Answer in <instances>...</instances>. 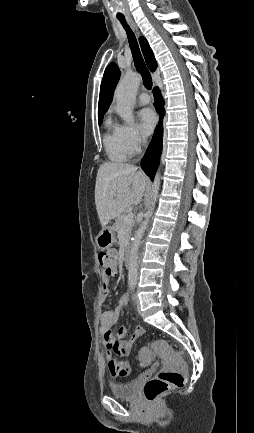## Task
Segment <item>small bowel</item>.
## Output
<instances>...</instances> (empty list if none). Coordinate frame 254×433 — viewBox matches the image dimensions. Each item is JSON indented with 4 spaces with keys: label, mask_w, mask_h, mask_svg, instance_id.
<instances>
[{
    "label": "small bowel",
    "mask_w": 254,
    "mask_h": 433,
    "mask_svg": "<svg viewBox=\"0 0 254 433\" xmlns=\"http://www.w3.org/2000/svg\"><path fill=\"white\" fill-rule=\"evenodd\" d=\"M108 286L109 280L106 278L103 282L105 297L109 293ZM126 301V296H123L119 305L114 310L105 312L101 316V331L104 335L103 345L106 351L105 360L109 373L115 378L125 377L131 373V363L118 360L117 357L124 358L128 356L131 353L133 343L140 337L138 333L140 327L136 328L128 339H125L128 334L127 328L122 327L117 331H113L112 329L118 322Z\"/></svg>",
    "instance_id": "1"
}]
</instances>
